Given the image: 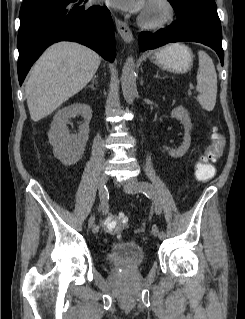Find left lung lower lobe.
Segmentation results:
<instances>
[{"label":"left lung lower lobe","instance_id":"obj_1","mask_svg":"<svg viewBox=\"0 0 245 319\" xmlns=\"http://www.w3.org/2000/svg\"><path fill=\"white\" fill-rule=\"evenodd\" d=\"M181 41L199 42L211 47L216 51L223 65L224 51L220 20L198 12L177 15V21L153 34L142 32L139 36V49L145 51Z\"/></svg>","mask_w":245,"mask_h":319}]
</instances>
